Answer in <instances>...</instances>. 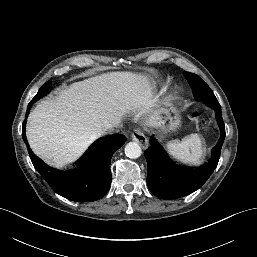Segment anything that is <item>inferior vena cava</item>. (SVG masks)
Instances as JSON below:
<instances>
[{"mask_svg":"<svg viewBox=\"0 0 257 257\" xmlns=\"http://www.w3.org/2000/svg\"><path fill=\"white\" fill-rule=\"evenodd\" d=\"M118 125H115V126H111V127H108L106 130H105V134H114L117 132V130L113 129V127H117Z\"/></svg>","mask_w":257,"mask_h":257,"instance_id":"602c4592","label":"inferior vena cava"}]
</instances>
